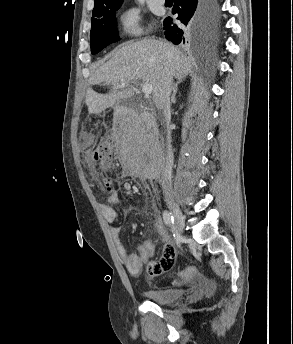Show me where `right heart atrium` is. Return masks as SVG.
Wrapping results in <instances>:
<instances>
[{
    "label": "right heart atrium",
    "instance_id": "right-heart-atrium-1",
    "mask_svg": "<svg viewBox=\"0 0 293 344\" xmlns=\"http://www.w3.org/2000/svg\"><path fill=\"white\" fill-rule=\"evenodd\" d=\"M118 31L129 37H138L142 33L141 17L136 8L121 11L116 18Z\"/></svg>",
    "mask_w": 293,
    "mask_h": 344
}]
</instances>
